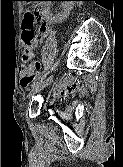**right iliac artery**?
Segmentation results:
<instances>
[{
  "label": "right iliac artery",
  "instance_id": "right-iliac-artery-1",
  "mask_svg": "<svg viewBox=\"0 0 123 167\" xmlns=\"http://www.w3.org/2000/svg\"><path fill=\"white\" fill-rule=\"evenodd\" d=\"M57 64H58V62H56V63L54 64V67H56ZM52 69H53V68H52ZM46 75H47V73H45V75H43L41 78H39V79L33 84V86H35V85H37L38 83H40V82L46 77Z\"/></svg>",
  "mask_w": 123,
  "mask_h": 167
}]
</instances>
